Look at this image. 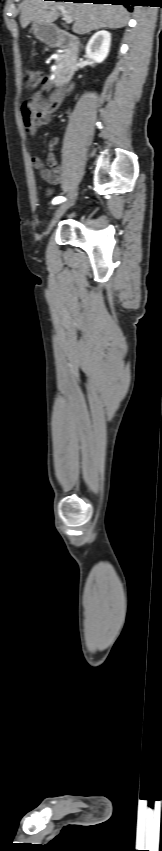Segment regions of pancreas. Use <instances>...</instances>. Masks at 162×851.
<instances>
[{
	"mask_svg": "<svg viewBox=\"0 0 162 851\" xmlns=\"http://www.w3.org/2000/svg\"><path fill=\"white\" fill-rule=\"evenodd\" d=\"M67 60H68V53L67 52L58 54L57 58H56V69L53 70L52 72L54 74H59L60 71L66 65Z\"/></svg>",
	"mask_w": 162,
	"mask_h": 851,
	"instance_id": "1",
	"label": "pancreas"
}]
</instances>
